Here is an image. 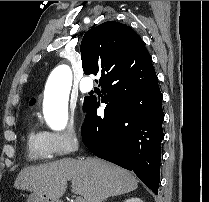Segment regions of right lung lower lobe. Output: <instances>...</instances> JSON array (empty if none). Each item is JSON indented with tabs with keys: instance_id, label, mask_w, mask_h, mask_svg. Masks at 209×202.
I'll return each instance as SVG.
<instances>
[{
	"instance_id": "1",
	"label": "right lung lower lobe",
	"mask_w": 209,
	"mask_h": 202,
	"mask_svg": "<svg viewBox=\"0 0 209 202\" xmlns=\"http://www.w3.org/2000/svg\"><path fill=\"white\" fill-rule=\"evenodd\" d=\"M146 68L145 75L131 77L120 87L101 85V100L87 97L81 134L94 155L134 171L158 194L164 113L152 60ZM100 102L107 104L103 116L96 113Z\"/></svg>"
}]
</instances>
